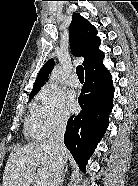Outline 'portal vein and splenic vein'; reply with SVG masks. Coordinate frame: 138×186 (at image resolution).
<instances>
[{"label":"portal vein and splenic vein","instance_id":"1","mask_svg":"<svg viewBox=\"0 0 138 186\" xmlns=\"http://www.w3.org/2000/svg\"><path fill=\"white\" fill-rule=\"evenodd\" d=\"M35 186H44L43 183L41 181H37Z\"/></svg>","mask_w":138,"mask_h":186}]
</instances>
